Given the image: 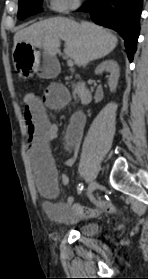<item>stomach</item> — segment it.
Returning <instances> with one entry per match:
<instances>
[{
  "label": "stomach",
  "instance_id": "obj_1",
  "mask_svg": "<svg viewBox=\"0 0 148 279\" xmlns=\"http://www.w3.org/2000/svg\"><path fill=\"white\" fill-rule=\"evenodd\" d=\"M13 60L15 69L22 75H40L44 78H50L55 76L59 70V64L55 57L24 42L15 45Z\"/></svg>",
  "mask_w": 148,
  "mask_h": 279
}]
</instances>
